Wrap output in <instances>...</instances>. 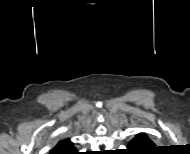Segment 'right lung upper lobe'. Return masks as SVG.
<instances>
[{
	"label": "right lung upper lobe",
	"mask_w": 190,
	"mask_h": 154,
	"mask_svg": "<svg viewBox=\"0 0 190 154\" xmlns=\"http://www.w3.org/2000/svg\"><path fill=\"white\" fill-rule=\"evenodd\" d=\"M73 144L70 142L69 139L61 140L58 144L53 148L50 154H60L64 151L74 150Z\"/></svg>",
	"instance_id": "right-lung-upper-lobe-1"
}]
</instances>
